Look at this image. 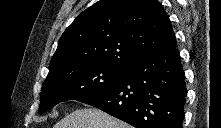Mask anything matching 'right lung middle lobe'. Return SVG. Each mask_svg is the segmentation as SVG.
I'll use <instances>...</instances> for the list:
<instances>
[{
	"instance_id": "dd1d6c3e",
	"label": "right lung middle lobe",
	"mask_w": 221,
	"mask_h": 128,
	"mask_svg": "<svg viewBox=\"0 0 221 128\" xmlns=\"http://www.w3.org/2000/svg\"><path fill=\"white\" fill-rule=\"evenodd\" d=\"M127 68L102 64L68 66L50 72L40 94L39 114L67 100L81 101L119 81Z\"/></svg>"
}]
</instances>
